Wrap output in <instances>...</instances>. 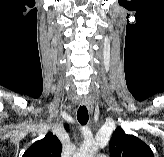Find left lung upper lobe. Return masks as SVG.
Listing matches in <instances>:
<instances>
[{
	"mask_svg": "<svg viewBox=\"0 0 164 157\" xmlns=\"http://www.w3.org/2000/svg\"><path fill=\"white\" fill-rule=\"evenodd\" d=\"M109 150L111 157H154L148 145L133 135L125 134L120 127L113 132Z\"/></svg>",
	"mask_w": 164,
	"mask_h": 157,
	"instance_id": "left-lung-upper-lobe-1",
	"label": "left lung upper lobe"
}]
</instances>
